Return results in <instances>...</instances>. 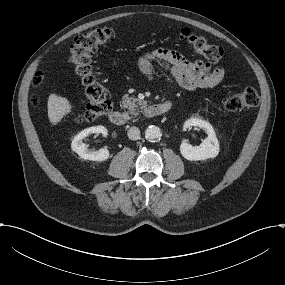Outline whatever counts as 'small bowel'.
I'll return each mask as SVG.
<instances>
[{"instance_id":"1","label":"small bowel","mask_w":285,"mask_h":285,"mask_svg":"<svg viewBox=\"0 0 285 285\" xmlns=\"http://www.w3.org/2000/svg\"><path fill=\"white\" fill-rule=\"evenodd\" d=\"M156 64L168 71L180 87L189 91L215 87L225 77L222 67L211 68L201 60L190 61L171 49L158 48L139 59L141 71L149 78L153 76Z\"/></svg>"}]
</instances>
